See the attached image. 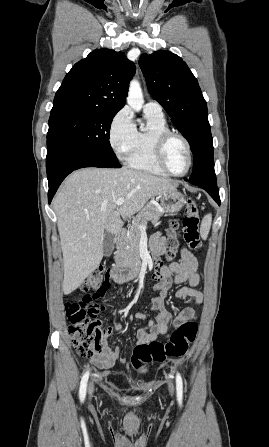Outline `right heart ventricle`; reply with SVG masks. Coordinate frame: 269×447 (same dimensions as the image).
<instances>
[{
    "instance_id": "e07e8e85",
    "label": "right heart ventricle",
    "mask_w": 269,
    "mask_h": 447,
    "mask_svg": "<svg viewBox=\"0 0 269 447\" xmlns=\"http://www.w3.org/2000/svg\"><path fill=\"white\" fill-rule=\"evenodd\" d=\"M147 125L135 131L132 148L127 156L130 167L143 171L167 175L155 158L154 141L157 134L170 131L164 117L146 113Z\"/></svg>"
}]
</instances>
